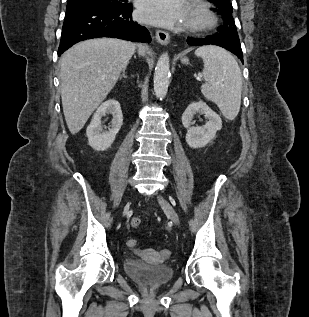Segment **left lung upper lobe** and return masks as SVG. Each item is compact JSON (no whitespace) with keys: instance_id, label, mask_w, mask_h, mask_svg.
I'll return each instance as SVG.
<instances>
[{"instance_id":"obj_1","label":"left lung upper lobe","mask_w":309,"mask_h":317,"mask_svg":"<svg viewBox=\"0 0 309 317\" xmlns=\"http://www.w3.org/2000/svg\"><path fill=\"white\" fill-rule=\"evenodd\" d=\"M208 1L213 2L217 6V9H214V10L218 14H221L224 20V24L219 29V33L231 34L239 38L234 19L232 17L233 7L230 0H208Z\"/></svg>"}]
</instances>
